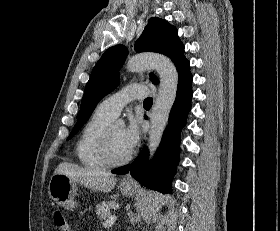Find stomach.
Returning a JSON list of instances; mask_svg holds the SVG:
<instances>
[{"mask_svg":"<svg viewBox=\"0 0 280 231\" xmlns=\"http://www.w3.org/2000/svg\"><path fill=\"white\" fill-rule=\"evenodd\" d=\"M123 195H133L134 187H120ZM78 191L76 181H72L68 175L64 173H54L49 181L48 193L53 201L65 207V209H73L76 207L77 201L75 195Z\"/></svg>","mask_w":280,"mask_h":231,"instance_id":"obj_1","label":"stomach"}]
</instances>
